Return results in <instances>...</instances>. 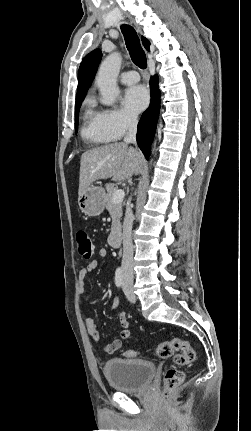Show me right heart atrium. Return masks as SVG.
Listing matches in <instances>:
<instances>
[{
	"label": "right heart atrium",
	"instance_id": "right-heart-atrium-1",
	"mask_svg": "<svg viewBox=\"0 0 251 431\" xmlns=\"http://www.w3.org/2000/svg\"><path fill=\"white\" fill-rule=\"evenodd\" d=\"M101 122L106 132L119 139L137 126V117L122 108H106L100 111Z\"/></svg>",
	"mask_w": 251,
	"mask_h": 431
}]
</instances>
